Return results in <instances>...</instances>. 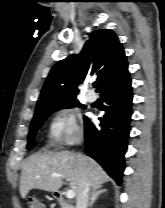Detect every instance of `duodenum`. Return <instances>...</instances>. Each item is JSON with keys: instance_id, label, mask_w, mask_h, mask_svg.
Here are the masks:
<instances>
[{"instance_id": "410a0bca", "label": "duodenum", "mask_w": 165, "mask_h": 208, "mask_svg": "<svg viewBox=\"0 0 165 208\" xmlns=\"http://www.w3.org/2000/svg\"><path fill=\"white\" fill-rule=\"evenodd\" d=\"M54 196H55L56 200L59 202L60 205H62V206H68L69 205L67 199L65 198V196L62 193L55 192Z\"/></svg>"}]
</instances>
